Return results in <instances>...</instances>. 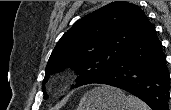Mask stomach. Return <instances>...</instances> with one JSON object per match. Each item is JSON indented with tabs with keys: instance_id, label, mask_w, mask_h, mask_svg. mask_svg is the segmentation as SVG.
Returning a JSON list of instances; mask_svg holds the SVG:
<instances>
[{
	"instance_id": "0dacf381",
	"label": "stomach",
	"mask_w": 171,
	"mask_h": 110,
	"mask_svg": "<svg viewBox=\"0 0 171 110\" xmlns=\"http://www.w3.org/2000/svg\"><path fill=\"white\" fill-rule=\"evenodd\" d=\"M78 110H130V105L121 90L97 87L84 95Z\"/></svg>"
}]
</instances>
